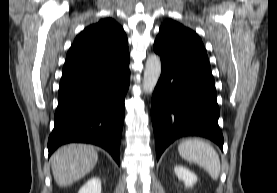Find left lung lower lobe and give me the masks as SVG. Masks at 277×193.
<instances>
[{"label": "left lung lower lobe", "mask_w": 277, "mask_h": 193, "mask_svg": "<svg viewBox=\"0 0 277 193\" xmlns=\"http://www.w3.org/2000/svg\"><path fill=\"white\" fill-rule=\"evenodd\" d=\"M154 51L162 61L151 101L157 160L167 146L184 136L206 137L222 149L224 139L209 62L178 57L157 41Z\"/></svg>", "instance_id": "1"}]
</instances>
